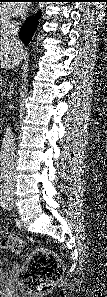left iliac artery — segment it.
<instances>
[{"label":"left iliac artery","instance_id":"left-iliac-artery-1","mask_svg":"<svg viewBox=\"0 0 107 297\" xmlns=\"http://www.w3.org/2000/svg\"><path fill=\"white\" fill-rule=\"evenodd\" d=\"M5 193H2V191H1V206L2 207H5V205H6V197H5V195H4Z\"/></svg>","mask_w":107,"mask_h":297}]
</instances>
